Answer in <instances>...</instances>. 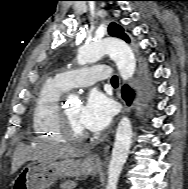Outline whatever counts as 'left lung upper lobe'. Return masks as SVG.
<instances>
[{
	"mask_svg": "<svg viewBox=\"0 0 188 189\" xmlns=\"http://www.w3.org/2000/svg\"><path fill=\"white\" fill-rule=\"evenodd\" d=\"M108 32L111 36L118 37L127 42H130L129 37L124 33L123 28L114 22L109 25Z\"/></svg>",
	"mask_w": 188,
	"mask_h": 189,
	"instance_id": "obj_1",
	"label": "left lung upper lobe"
}]
</instances>
